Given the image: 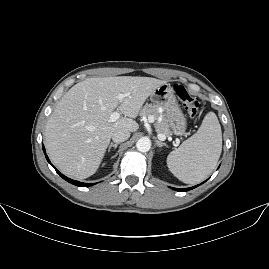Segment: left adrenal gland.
<instances>
[{"instance_id":"left-adrenal-gland-1","label":"left adrenal gland","mask_w":269,"mask_h":269,"mask_svg":"<svg viewBox=\"0 0 269 269\" xmlns=\"http://www.w3.org/2000/svg\"><path fill=\"white\" fill-rule=\"evenodd\" d=\"M155 145L158 147V148H161V147H167V145L165 143H162L161 141H159L158 139L155 140Z\"/></svg>"}]
</instances>
